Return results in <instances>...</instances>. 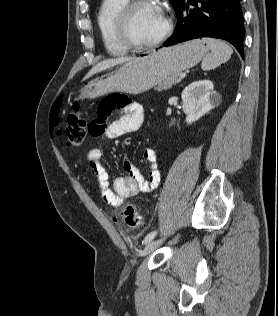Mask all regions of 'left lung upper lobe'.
<instances>
[{"label": "left lung upper lobe", "mask_w": 278, "mask_h": 316, "mask_svg": "<svg viewBox=\"0 0 278 316\" xmlns=\"http://www.w3.org/2000/svg\"><path fill=\"white\" fill-rule=\"evenodd\" d=\"M182 0H170V3L172 4L175 12H177Z\"/></svg>", "instance_id": "left-lung-upper-lobe-1"}]
</instances>
